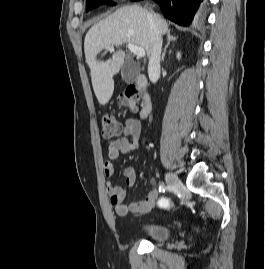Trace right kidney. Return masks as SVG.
I'll return each mask as SVG.
<instances>
[{"instance_id":"right-kidney-1","label":"right kidney","mask_w":265,"mask_h":269,"mask_svg":"<svg viewBox=\"0 0 265 269\" xmlns=\"http://www.w3.org/2000/svg\"><path fill=\"white\" fill-rule=\"evenodd\" d=\"M180 57H181V55H180V53L178 52V53H177V58L180 59Z\"/></svg>"}]
</instances>
